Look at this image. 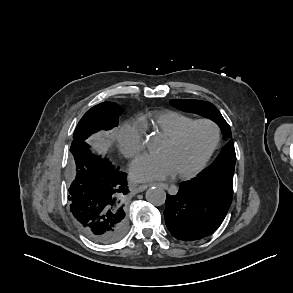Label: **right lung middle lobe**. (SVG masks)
<instances>
[{
	"instance_id": "1",
	"label": "right lung middle lobe",
	"mask_w": 293,
	"mask_h": 293,
	"mask_svg": "<svg viewBox=\"0 0 293 293\" xmlns=\"http://www.w3.org/2000/svg\"><path fill=\"white\" fill-rule=\"evenodd\" d=\"M120 107L111 102H103L85 113L78 123L73 141H85L91 134L101 129H112L118 125Z\"/></svg>"
}]
</instances>
